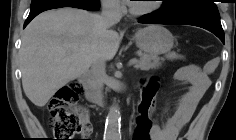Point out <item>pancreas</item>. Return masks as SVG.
Segmentation results:
<instances>
[{
    "label": "pancreas",
    "instance_id": "cf45deb5",
    "mask_svg": "<svg viewBox=\"0 0 236 140\" xmlns=\"http://www.w3.org/2000/svg\"><path fill=\"white\" fill-rule=\"evenodd\" d=\"M140 55V59L137 60L135 68L141 70H148L153 68H159L161 66V60L158 56L137 52Z\"/></svg>",
    "mask_w": 236,
    "mask_h": 140
}]
</instances>
